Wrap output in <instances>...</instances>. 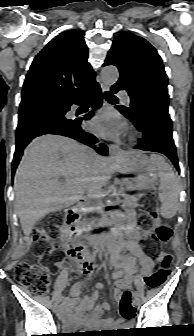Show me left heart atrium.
I'll return each mask as SVG.
<instances>
[{"mask_svg":"<svg viewBox=\"0 0 194 336\" xmlns=\"http://www.w3.org/2000/svg\"><path fill=\"white\" fill-rule=\"evenodd\" d=\"M90 128L102 137L116 138L123 131L124 122L116 112L105 110L93 118Z\"/></svg>","mask_w":194,"mask_h":336,"instance_id":"left-heart-atrium-1","label":"left heart atrium"}]
</instances>
